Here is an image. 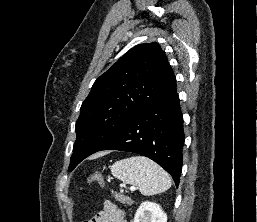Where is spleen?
Wrapping results in <instances>:
<instances>
[{
	"mask_svg": "<svg viewBox=\"0 0 257 222\" xmlns=\"http://www.w3.org/2000/svg\"><path fill=\"white\" fill-rule=\"evenodd\" d=\"M112 174L119 180L137 186L143 195L162 193L171 187V178L152 160L135 156L115 162Z\"/></svg>",
	"mask_w": 257,
	"mask_h": 222,
	"instance_id": "spleen-1",
	"label": "spleen"
}]
</instances>
